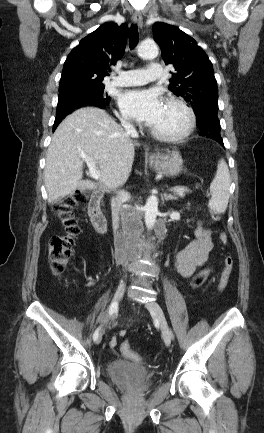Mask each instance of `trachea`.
<instances>
[{
	"mask_svg": "<svg viewBox=\"0 0 264 433\" xmlns=\"http://www.w3.org/2000/svg\"><path fill=\"white\" fill-rule=\"evenodd\" d=\"M137 41H138V26L133 24L129 29V46L131 50H133L136 47Z\"/></svg>",
	"mask_w": 264,
	"mask_h": 433,
	"instance_id": "3493384b",
	"label": "trachea"
}]
</instances>
